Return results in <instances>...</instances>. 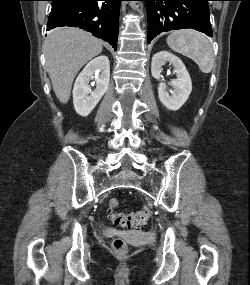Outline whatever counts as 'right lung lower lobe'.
<instances>
[{
    "label": "right lung lower lobe",
    "instance_id": "98d812e1",
    "mask_svg": "<svg viewBox=\"0 0 250 285\" xmlns=\"http://www.w3.org/2000/svg\"><path fill=\"white\" fill-rule=\"evenodd\" d=\"M47 30L58 26L79 27L116 48L122 0H50ZM116 50V49H115Z\"/></svg>",
    "mask_w": 250,
    "mask_h": 285
}]
</instances>
